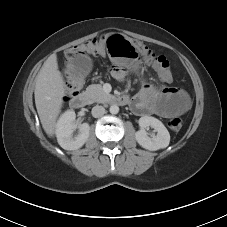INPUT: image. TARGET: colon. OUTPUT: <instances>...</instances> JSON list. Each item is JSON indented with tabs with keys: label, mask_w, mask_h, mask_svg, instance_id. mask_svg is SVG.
<instances>
[{
	"label": "colon",
	"mask_w": 227,
	"mask_h": 227,
	"mask_svg": "<svg viewBox=\"0 0 227 227\" xmlns=\"http://www.w3.org/2000/svg\"><path fill=\"white\" fill-rule=\"evenodd\" d=\"M105 51L115 62H122L126 59H134L141 56L148 65L157 71L162 81L171 82L173 80L171 66L165 56L157 55L145 43L121 34H105L70 47L65 52L66 63L76 53L87 55L100 54ZM83 82L73 84L66 80L67 92L69 94L78 93L82 88ZM182 125V119L179 117H173L168 121V127L173 131H179Z\"/></svg>",
	"instance_id": "colon-1"
}]
</instances>
